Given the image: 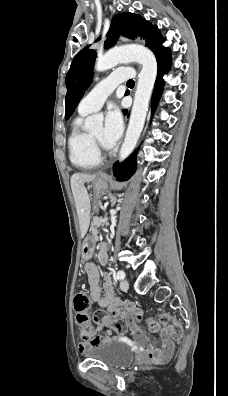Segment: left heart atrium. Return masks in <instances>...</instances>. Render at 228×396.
<instances>
[{
    "label": "left heart atrium",
    "mask_w": 228,
    "mask_h": 396,
    "mask_svg": "<svg viewBox=\"0 0 228 396\" xmlns=\"http://www.w3.org/2000/svg\"><path fill=\"white\" fill-rule=\"evenodd\" d=\"M123 132V119L120 111L113 107L105 117L103 140L107 147H113Z\"/></svg>",
    "instance_id": "obj_1"
}]
</instances>
